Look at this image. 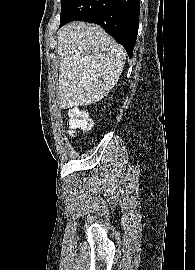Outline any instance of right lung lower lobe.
<instances>
[{
    "mask_svg": "<svg viewBox=\"0 0 195 270\" xmlns=\"http://www.w3.org/2000/svg\"><path fill=\"white\" fill-rule=\"evenodd\" d=\"M139 0H73L61 13V26L82 20L102 26L128 55L133 54L139 28Z\"/></svg>",
    "mask_w": 195,
    "mask_h": 270,
    "instance_id": "1",
    "label": "right lung lower lobe"
}]
</instances>
